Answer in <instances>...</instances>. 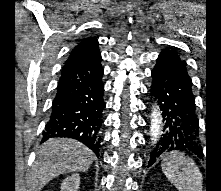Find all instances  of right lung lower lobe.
Instances as JSON below:
<instances>
[{"label": "right lung lower lobe", "mask_w": 221, "mask_h": 191, "mask_svg": "<svg viewBox=\"0 0 221 191\" xmlns=\"http://www.w3.org/2000/svg\"><path fill=\"white\" fill-rule=\"evenodd\" d=\"M100 62L99 53L65 64L42 141L52 137L73 138L99 156L106 106Z\"/></svg>", "instance_id": "98d812e1"}]
</instances>
